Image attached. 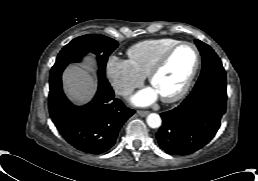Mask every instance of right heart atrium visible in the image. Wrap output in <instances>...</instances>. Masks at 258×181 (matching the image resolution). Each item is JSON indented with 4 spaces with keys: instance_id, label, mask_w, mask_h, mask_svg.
Instances as JSON below:
<instances>
[{
    "instance_id": "1",
    "label": "right heart atrium",
    "mask_w": 258,
    "mask_h": 181,
    "mask_svg": "<svg viewBox=\"0 0 258 181\" xmlns=\"http://www.w3.org/2000/svg\"><path fill=\"white\" fill-rule=\"evenodd\" d=\"M107 77L117 94L127 97L142 85L145 77L139 74L128 60L110 57L106 64Z\"/></svg>"
}]
</instances>
